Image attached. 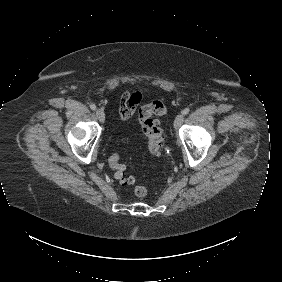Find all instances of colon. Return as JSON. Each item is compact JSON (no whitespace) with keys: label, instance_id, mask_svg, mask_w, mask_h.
Returning <instances> with one entry per match:
<instances>
[{"label":"colon","instance_id":"obj_1","mask_svg":"<svg viewBox=\"0 0 282 282\" xmlns=\"http://www.w3.org/2000/svg\"><path fill=\"white\" fill-rule=\"evenodd\" d=\"M166 106L161 102H154L151 107L144 106L141 109L139 129L144 134L147 144V151L151 156L161 154L163 148V137L156 122L151 120V114L161 115L165 113ZM109 165L116 179L121 185L131 186L134 183V178L125 175V165L120 162V157L117 152H112L109 156ZM153 175H158V170H153ZM134 194L141 199L147 195V188L144 185H139L134 188Z\"/></svg>","mask_w":282,"mask_h":282}]
</instances>
